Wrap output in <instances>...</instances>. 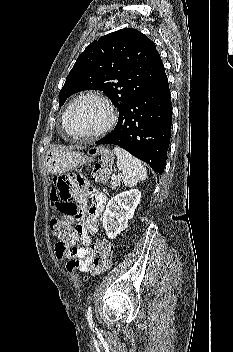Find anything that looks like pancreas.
<instances>
[{
	"label": "pancreas",
	"instance_id": "obj_1",
	"mask_svg": "<svg viewBox=\"0 0 233 352\" xmlns=\"http://www.w3.org/2000/svg\"><path fill=\"white\" fill-rule=\"evenodd\" d=\"M120 183H121V180L118 178L116 179L115 181H112L111 182V188L112 189H116L120 186Z\"/></svg>",
	"mask_w": 233,
	"mask_h": 352
}]
</instances>
